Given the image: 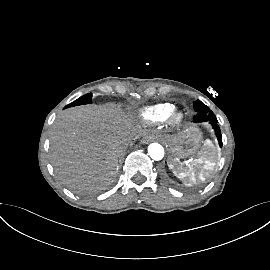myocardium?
<instances>
[{
    "instance_id": "obj_1",
    "label": "myocardium",
    "mask_w": 270,
    "mask_h": 270,
    "mask_svg": "<svg viewBox=\"0 0 270 270\" xmlns=\"http://www.w3.org/2000/svg\"><path fill=\"white\" fill-rule=\"evenodd\" d=\"M169 122L173 126H179L185 119V114L179 109H174L171 115L169 116Z\"/></svg>"
}]
</instances>
